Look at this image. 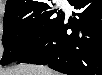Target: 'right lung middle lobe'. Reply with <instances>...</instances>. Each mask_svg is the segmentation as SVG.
Instances as JSON below:
<instances>
[{
	"instance_id": "obj_1",
	"label": "right lung middle lobe",
	"mask_w": 102,
	"mask_h": 75,
	"mask_svg": "<svg viewBox=\"0 0 102 75\" xmlns=\"http://www.w3.org/2000/svg\"><path fill=\"white\" fill-rule=\"evenodd\" d=\"M49 3L36 9L4 15V46L1 65L18 61L38 47L64 18V13L50 11Z\"/></svg>"
}]
</instances>
